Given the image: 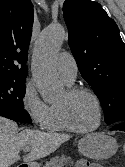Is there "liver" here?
Returning <instances> with one entry per match:
<instances>
[{
	"mask_svg": "<svg viewBox=\"0 0 125 167\" xmlns=\"http://www.w3.org/2000/svg\"><path fill=\"white\" fill-rule=\"evenodd\" d=\"M70 135L26 129L18 132L16 122L0 117V167H10L19 160V151L30 147L24 162H32L56 151Z\"/></svg>",
	"mask_w": 125,
	"mask_h": 167,
	"instance_id": "6515ba94",
	"label": "liver"
}]
</instances>
